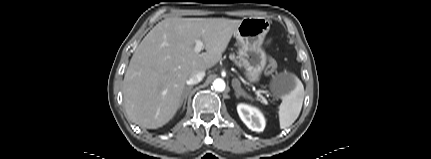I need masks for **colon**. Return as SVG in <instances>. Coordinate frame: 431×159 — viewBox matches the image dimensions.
<instances>
[{
  "label": "colon",
  "instance_id": "1",
  "mask_svg": "<svg viewBox=\"0 0 431 159\" xmlns=\"http://www.w3.org/2000/svg\"><path fill=\"white\" fill-rule=\"evenodd\" d=\"M276 68V61L273 58H269L268 65L266 67V74L271 75Z\"/></svg>",
  "mask_w": 431,
  "mask_h": 159
}]
</instances>
